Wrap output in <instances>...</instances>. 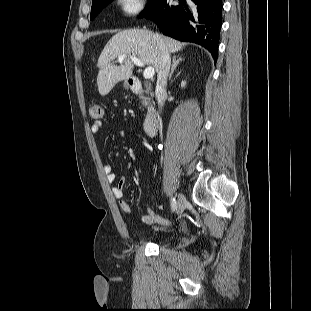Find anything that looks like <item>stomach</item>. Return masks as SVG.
<instances>
[{
	"label": "stomach",
	"instance_id": "0dacf381",
	"mask_svg": "<svg viewBox=\"0 0 311 311\" xmlns=\"http://www.w3.org/2000/svg\"><path fill=\"white\" fill-rule=\"evenodd\" d=\"M128 86H129L128 80H125V82H124V87H125V88H128Z\"/></svg>",
	"mask_w": 311,
	"mask_h": 311
}]
</instances>
